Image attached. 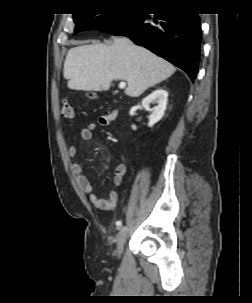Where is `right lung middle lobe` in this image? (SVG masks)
Returning a JSON list of instances; mask_svg holds the SVG:
<instances>
[{
	"label": "right lung middle lobe",
	"mask_w": 252,
	"mask_h": 303,
	"mask_svg": "<svg viewBox=\"0 0 252 303\" xmlns=\"http://www.w3.org/2000/svg\"><path fill=\"white\" fill-rule=\"evenodd\" d=\"M125 13H89L74 14L75 32L83 30H99L100 28L120 20Z\"/></svg>",
	"instance_id": "dd1d6c3e"
}]
</instances>
